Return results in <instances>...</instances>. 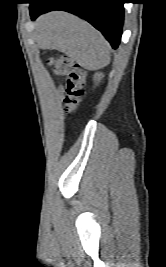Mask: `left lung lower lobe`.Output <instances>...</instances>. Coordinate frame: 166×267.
Segmentation results:
<instances>
[{
	"label": "left lung lower lobe",
	"instance_id": "1",
	"mask_svg": "<svg viewBox=\"0 0 166 267\" xmlns=\"http://www.w3.org/2000/svg\"><path fill=\"white\" fill-rule=\"evenodd\" d=\"M126 0H30V15L35 20L51 10H65L74 13L102 32L116 49L121 40Z\"/></svg>",
	"mask_w": 166,
	"mask_h": 267
}]
</instances>
